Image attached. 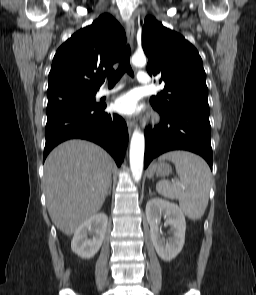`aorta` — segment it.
<instances>
[{
  "label": "aorta",
  "mask_w": 256,
  "mask_h": 295,
  "mask_svg": "<svg viewBox=\"0 0 256 295\" xmlns=\"http://www.w3.org/2000/svg\"><path fill=\"white\" fill-rule=\"evenodd\" d=\"M131 61L132 64L137 67H144L146 65V57L144 54L135 53ZM144 148V135L139 129H135L130 144V168L136 182L141 179L143 172Z\"/></svg>",
  "instance_id": "aorta-1"
}]
</instances>
